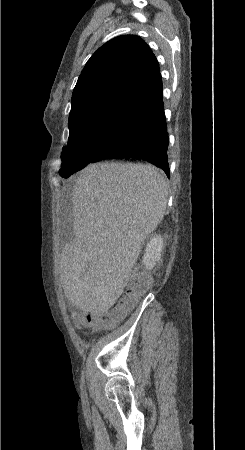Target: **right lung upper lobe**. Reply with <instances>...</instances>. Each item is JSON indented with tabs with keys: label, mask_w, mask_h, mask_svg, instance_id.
I'll return each instance as SVG.
<instances>
[{
	"label": "right lung upper lobe",
	"mask_w": 245,
	"mask_h": 450,
	"mask_svg": "<svg viewBox=\"0 0 245 450\" xmlns=\"http://www.w3.org/2000/svg\"><path fill=\"white\" fill-rule=\"evenodd\" d=\"M158 62L138 36L116 37L88 60L72 94L70 117L82 108L119 105L141 111L162 97Z\"/></svg>",
	"instance_id": "1"
}]
</instances>
